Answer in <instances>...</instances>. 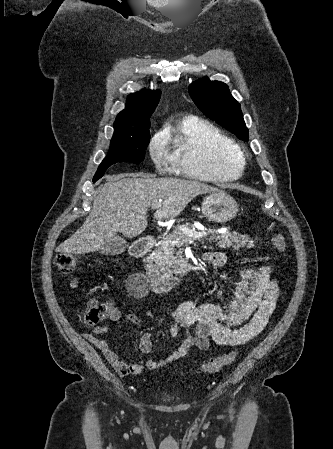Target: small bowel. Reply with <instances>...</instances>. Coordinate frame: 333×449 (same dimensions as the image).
<instances>
[{"mask_svg": "<svg viewBox=\"0 0 333 449\" xmlns=\"http://www.w3.org/2000/svg\"><path fill=\"white\" fill-rule=\"evenodd\" d=\"M206 259L216 266L225 263L224 255L218 252L207 254ZM240 277L236 296L226 308L214 303L185 301L171 313L170 336L178 337L181 329L184 330V334L179 348L165 359H147L138 363L120 360L102 337L106 332L104 327L97 326L92 333H85L84 337L104 354L121 376L139 374L144 368L150 370L160 368L185 357L193 348L208 350L211 341L224 346L246 344L266 327L279 301L280 291L268 266L243 269ZM70 284L73 289H77L79 281L73 278ZM94 302L97 301L89 299L87 305ZM109 316L112 321L125 319L137 325L141 322L137 315H123L114 307ZM139 349L143 354L151 352L152 338L149 333H144L140 337Z\"/></svg>", "mask_w": 333, "mask_h": 449, "instance_id": "small-bowel-1", "label": "small bowel"}]
</instances>
